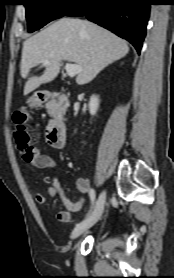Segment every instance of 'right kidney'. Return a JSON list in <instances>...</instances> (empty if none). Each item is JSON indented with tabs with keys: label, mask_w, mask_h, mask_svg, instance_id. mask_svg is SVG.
Returning a JSON list of instances; mask_svg holds the SVG:
<instances>
[{
	"label": "right kidney",
	"mask_w": 174,
	"mask_h": 278,
	"mask_svg": "<svg viewBox=\"0 0 174 278\" xmlns=\"http://www.w3.org/2000/svg\"><path fill=\"white\" fill-rule=\"evenodd\" d=\"M99 108V98L96 95H92L89 101V112L94 116Z\"/></svg>",
	"instance_id": "right-kidney-1"
}]
</instances>
